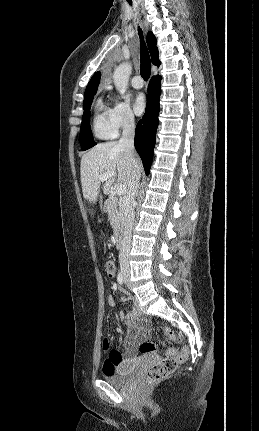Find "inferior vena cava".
<instances>
[{
  "label": "inferior vena cava",
  "mask_w": 259,
  "mask_h": 431,
  "mask_svg": "<svg viewBox=\"0 0 259 431\" xmlns=\"http://www.w3.org/2000/svg\"><path fill=\"white\" fill-rule=\"evenodd\" d=\"M134 134L135 123L134 117L131 116L126 119L123 125L122 137L119 140V147L125 150L127 162L133 169L130 187L128 191V197L124 207L125 227L119 253V261L122 266H128V258L132 244V229L135 221L133 202L138 190L139 180L141 176L140 172L136 170L135 165L136 154L134 150Z\"/></svg>",
  "instance_id": "obj_1"
}]
</instances>
